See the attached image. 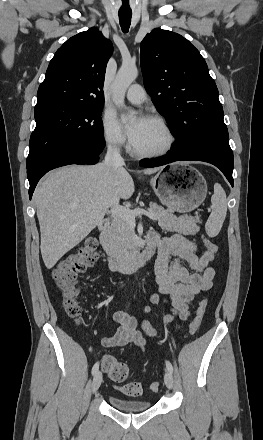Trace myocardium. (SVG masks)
<instances>
[{
  "mask_svg": "<svg viewBox=\"0 0 263 440\" xmlns=\"http://www.w3.org/2000/svg\"><path fill=\"white\" fill-rule=\"evenodd\" d=\"M146 120L149 121H153L155 123H157L166 133L167 135V142L166 144L158 149V150H154V151H140L137 150L133 143L131 144V153L139 158H156V157H161L164 155H167L168 153H170L173 148L176 145V141H177V137L176 134L173 130V128L171 127V125L168 123V121L159 116V115H149L146 117Z\"/></svg>",
  "mask_w": 263,
  "mask_h": 440,
  "instance_id": "obj_1",
  "label": "myocardium"
}]
</instances>
